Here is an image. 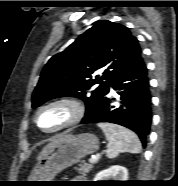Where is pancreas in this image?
Wrapping results in <instances>:
<instances>
[{
    "label": "pancreas",
    "mask_w": 178,
    "mask_h": 186,
    "mask_svg": "<svg viewBox=\"0 0 178 186\" xmlns=\"http://www.w3.org/2000/svg\"><path fill=\"white\" fill-rule=\"evenodd\" d=\"M97 162H98V159L94 163H97ZM94 163L88 164V163L83 162L79 164V168H76V170L78 171V173L82 175H86L92 170Z\"/></svg>",
    "instance_id": "1"
}]
</instances>
